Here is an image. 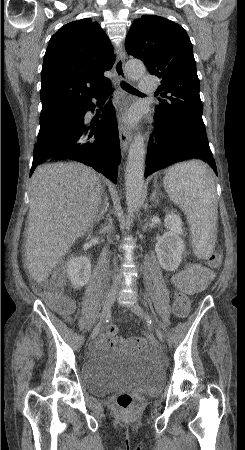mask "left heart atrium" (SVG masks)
Returning a JSON list of instances; mask_svg holds the SVG:
<instances>
[{
	"mask_svg": "<svg viewBox=\"0 0 245 450\" xmlns=\"http://www.w3.org/2000/svg\"><path fill=\"white\" fill-rule=\"evenodd\" d=\"M139 119V112L135 109H131L127 112L124 120L126 124L133 125L135 124Z\"/></svg>",
	"mask_w": 245,
	"mask_h": 450,
	"instance_id": "obj_1",
	"label": "left heart atrium"
}]
</instances>
